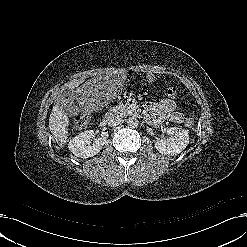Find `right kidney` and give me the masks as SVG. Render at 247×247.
<instances>
[{"label":"right kidney","mask_w":247,"mask_h":247,"mask_svg":"<svg viewBox=\"0 0 247 247\" xmlns=\"http://www.w3.org/2000/svg\"><path fill=\"white\" fill-rule=\"evenodd\" d=\"M94 136L93 130H87L81 132L74 138H72L68 144L69 150L77 157L89 158L98 154L103 145L105 144V138H96L93 144H90L91 139Z\"/></svg>","instance_id":"ca27d5eb"}]
</instances>
